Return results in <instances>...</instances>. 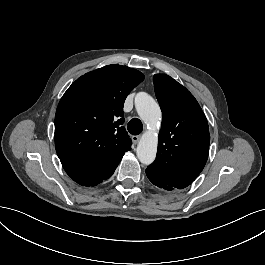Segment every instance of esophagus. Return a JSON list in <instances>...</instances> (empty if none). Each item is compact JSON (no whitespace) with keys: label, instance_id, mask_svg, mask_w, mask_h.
Masks as SVG:
<instances>
[{"label":"esophagus","instance_id":"esophagus-1","mask_svg":"<svg viewBox=\"0 0 265 265\" xmlns=\"http://www.w3.org/2000/svg\"><path fill=\"white\" fill-rule=\"evenodd\" d=\"M139 136H137V135H134V136H132V141H133V143L134 144H137L138 142H139Z\"/></svg>","mask_w":265,"mask_h":265}]
</instances>
